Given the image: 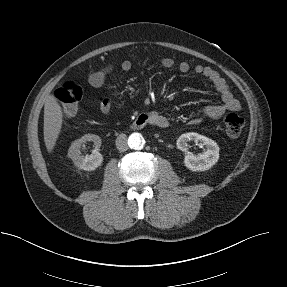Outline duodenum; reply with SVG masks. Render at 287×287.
Segmentation results:
<instances>
[{
  "label": "duodenum",
  "instance_id": "obj_1",
  "mask_svg": "<svg viewBox=\"0 0 287 287\" xmlns=\"http://www.w3.org/2000/svg\"><path fill=\"white\" fill-rule=\"evenodd\" d=\"M148 124H153V119L149 114L139 115L131 124L133 129H141Z\"/></svg>",
  "mask_w": 287,
  "mask_h": 287
}]
</instances>
